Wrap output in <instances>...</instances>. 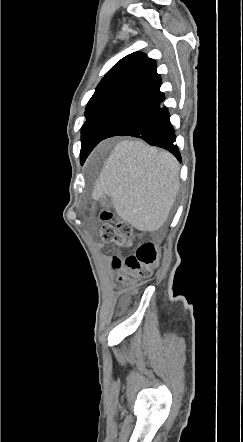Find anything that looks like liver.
I'll return each instance as SVG.
<instances>
[{
    "label": "liver",
    "instance_id": "6515ba94",
    "mask_svg": "<svg viewBox=\"0 0 243 442\" xmlns=\"http://www.w3.org/2000/svg\"><path fill=\"white\" fill-rule=\"evenodd\" d=\"M180 166L167 151L143 141L118 142L105 161L93 198L111 197L117 214L140 231L166 222L179 191Z\"/></svg>",
    "mask_w": 243,
    "mask_h": 442
}]
</instances>
